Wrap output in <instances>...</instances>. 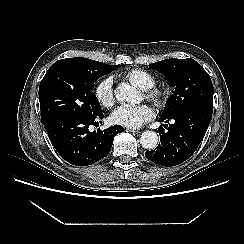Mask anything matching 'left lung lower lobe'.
Segmentation results:
<instances>
[{"label":"left lung lower lobe","instance_id":"left-lung-lower-lobe-1","mask_svg":"<svg viewBox=\"0 0 244 244\" xmlns=\"http://www.w3.org/2000/svg\"><path fill=\"white\" fill-rule=\"evenodd\" d=\"M213 108L191 106L169 117H161L164 124L158 128L161 144L152 151L145 152V157L162 166H176L186 161L198 148L211 122Z\"/></svg>","mask_w":244,"mask_h":244}]
</instances>
